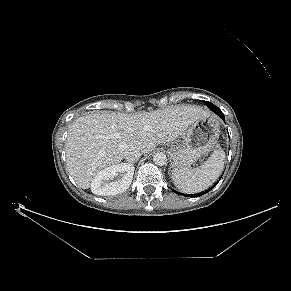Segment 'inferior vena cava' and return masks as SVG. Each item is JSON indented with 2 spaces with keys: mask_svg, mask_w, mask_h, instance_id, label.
Here are the masks:
<instances>
[{
  "mask_svg": "<svg viewBox=\"0 0 291 291\" xmlns=\"http://www.w3.org/2000/svg\"><path fill=\"white\" fill-rule=\"evenodd\" d=\"M124 158L129 162L137 161L141 155V150L136 146H131L125 149L123 152Z\"/></svg>",
  "mask_w": 291,
  "mask_h": 291,
  "instance_id": "obj_1",
  "label": "inferior vena cava"
}]
</instances>
